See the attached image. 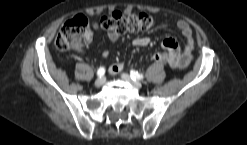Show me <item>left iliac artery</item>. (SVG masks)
I'll list each match as a JSON object with an SVG mask.
<instances>
[{
  "mask_svg": "<svg viewBox=\"0 0 247 145\" xmlns=\"http://www.w3.org/2000/svg\"><path fill=\"white\" fill-rule=\"evenodd\" d=\"M130 75H131V78H132L133 80H141V79L144 78V76H143L142 74L138 73V72L135 71V70H131Z\"/></svg>",
  "mask_w": 247,
  "mask_h": 145,
  "instance_id": "left-iliac-artery-1",
  "label": "left iliac artery"
}]
</instances>
